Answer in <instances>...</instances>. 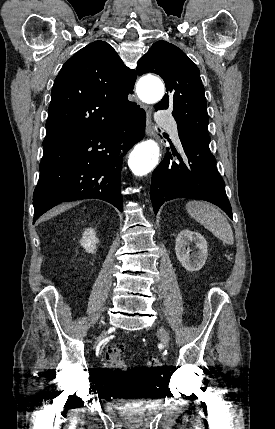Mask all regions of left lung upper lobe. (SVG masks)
Instances as JSON below:
<instances>
[{
    "label": "left lung upper lobe",
    "mask_w": 275,
    "mask_h": 429,
    "mask_svg": "<svg viewBox=\"0 0 275 429\" xmlns=\"http://www.w3.org/2000/svg\"><path fill=\"white\" fill-rule=\"evenodd\" d=\"M136 71L138 75L158 74L165 81L167 94L155 108H172L178 131L190 132L210 141L206 98L199 69L182 50L166 41H157L139 59Z\"/></svg>",
    "instance_id": "left-lung-upper-lobe-1"
}]
</instances>
